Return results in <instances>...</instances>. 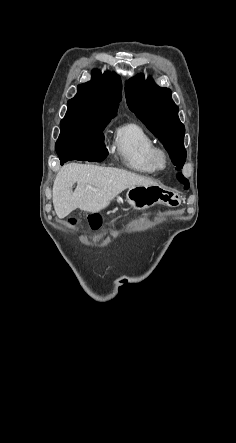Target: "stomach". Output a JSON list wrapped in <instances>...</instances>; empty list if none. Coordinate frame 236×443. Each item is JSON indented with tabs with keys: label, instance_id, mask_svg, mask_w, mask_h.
Masks as SVG:
<instances>
[{
	"label": "stomach",
	"instance_id": "1",
	"mask_svg": "<svg viewBox=\"0 0 236 443\" xmlns=\"http://www.w3.org/2000/svg\"><path fill=\"white\" fill-rule=\"evenodd\" d=\"M126 201L136 210L150 208L158 203L171 207H177L180 204L175 194L159 185L133 186L127 191Z\"/></svg>",
	"mask_w": 236,
	"mask_h": 443
}]
</instances>
